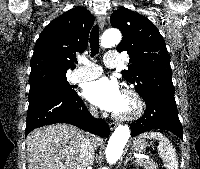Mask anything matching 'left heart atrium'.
<instances>
[{
	"instance_id": "obj_1",
	"label": "left heart atrium",
	"mask_w": 200,
	"mask_h": 169,
	"mask_svg": "<svg viewBox=\"0 0 200 169\" xmlns=\"http://www.w3.org/2000/svg\"><path fill=\"white\" fill-rule=\"evenodd\" d=\"M84 96L95 106L116 114L122 102L123 92L116 80L103 77L89 83Z\"/></svg>"
}]
</instances>
